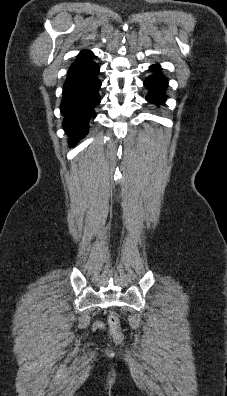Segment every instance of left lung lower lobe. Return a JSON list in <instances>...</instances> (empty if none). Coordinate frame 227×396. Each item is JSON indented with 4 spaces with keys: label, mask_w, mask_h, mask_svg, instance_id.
<instances>
[{
    "label": "left lung lower lobe",
    "mask_w": 227,
    "mask_h": 396,
    "mask_svg": "<svg viewBox=\"0 0 227 396\" xmlns=\"http://www.w3.org/2000/svg\"><path fill=\"white\" fill-rule=\"evenodd\" d=\"M150 70L154 71V73L144 81V85L149 89L146 99L154 104H162L166 99L165 89L168 81L159 72L160 66L158 64L152 65Z\"/></svg>",
    "instance_id": "0a47b994"
}]
</instances>
